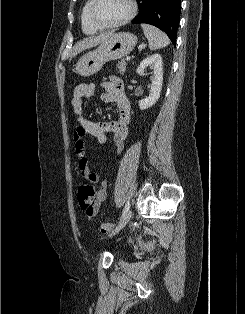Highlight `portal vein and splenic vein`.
<instances>
[{"instance_id":"portal-vein-and-splenic-vein-1","label":"portal vein and splenic vein","mask_w":245,"mask_h":314,"mask_svg":"<svg viewBox=\"0 0 245 314\" xmlns=\"http://www.w3.org/2000/svg\"><path fill=\"white\" fill-rule=\"evenodd\" d=\"M130 59H131V57H130V56H127V57H126V60H127V61H129Z\"/></svg>"}]
</instances>
